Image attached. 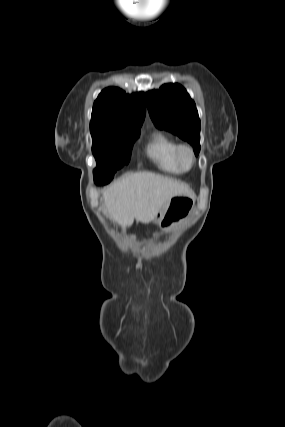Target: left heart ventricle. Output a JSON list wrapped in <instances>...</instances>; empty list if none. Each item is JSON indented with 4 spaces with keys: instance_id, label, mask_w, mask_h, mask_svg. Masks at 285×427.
Returning <instances> with one entry per match:
<instances>
[{
    "instance_id": "obj_1",
    "label": "left heart ventricle",
    "mask_w": 285,
    "mask_h": 427,
    "mask_svg": "<svg viewBox=\"0 0 285 427\" xmlns=\"http://www.w3.org/2000/svg\"><path fill=\"white\" fill-rule=\"evenodd\" d=\"M182 163L185 167H189L191 163V159L188 153H183L182 155Z\"/></svg>"
}]
</instances>
